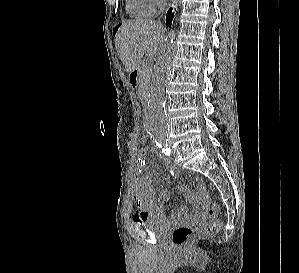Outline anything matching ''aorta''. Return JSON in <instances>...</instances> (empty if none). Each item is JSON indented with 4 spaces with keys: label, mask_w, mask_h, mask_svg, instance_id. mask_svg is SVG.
I'll list each match as a JSON object with an SVG mask.
<instances>
[{
    "label": "aorta",
    "mask_w": 299,
    "mask_h": 273,
    "mask_svg": "<svg viewBox=\"0 0 299 273\" xmlns=\"http://www.w3.org/2000/svg\"><path fill=\"white\" fill-rule=\"evenodd\" d=\"M175 31L168 35L155 68L147 105L144 111V128L154 141L165 142L169 132V122L165 111V89L170 77V68L176 52Z\"/></svg>",
    "instance_id": "aorta-1"
}]
</instances>
